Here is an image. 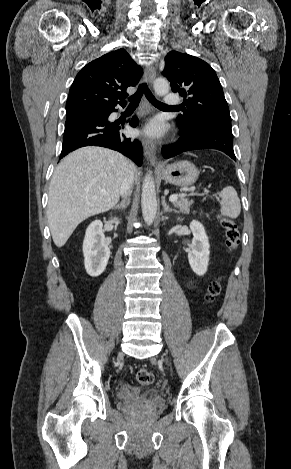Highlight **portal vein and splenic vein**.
Masks as SVG:
<instances>
[{
	"label": "portal vein and splenic vein",
	"mask_w": 291,
	"mask_h": 469,
	"mask_svg": "<svg viewBox=\"0 0 291 469\" xmlns=\"http://www.w3.org/2000/svg\"><path fill=\"white\" fill-rule=\"evenodd\" d=\"M183 196H184V194H179V195L173 194V195H171V196L169 197V201H170V202H175V201L178 200L179 197H183Z\"/></svg>",
	"instance_id": "18ae733b"
}]
</instances>
